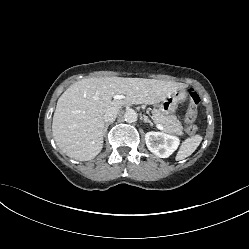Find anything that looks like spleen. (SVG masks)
<instances>
[{
  "mask_svg": "<svg viewBox=\"0 0 249 249\" xmlns=\"http://www.w3.org/2000/svg\"><path fill=\"white\" fill-rule=\"evenodd\" d=\"M202 139L203 138L200 135H195L191 138L186 139L182 143L180 150L177 153L176 160H182L190 156L200 145Z\"/></svg>",
  "mask_w": 249,
  "mask_h": 249,
  "instance_id": "3e777b00",
  "label": "spleen"
}]
</instances>
